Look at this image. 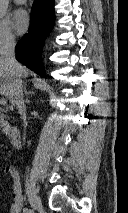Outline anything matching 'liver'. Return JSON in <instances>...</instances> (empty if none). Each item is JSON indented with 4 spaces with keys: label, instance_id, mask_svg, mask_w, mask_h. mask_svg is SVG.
Returning a JSON list of instances; mask_svg holds the SVG:
<instances>
[{
    "label": "liver",
    "instance_id": "1",
    "mask_svg": "<svg viewBox=\"0 0 128 213\" xmlns=\"http://www.w3.org/2000/svg\"><path fill=\"white\" fill-rule=\"evenodd\" d=\"M21 67L22 75L28 76V70L23 66ZM13 81L14 77L11 75L8 65L2 58H0V94L7 97L12 104H14L11 95Z\"/></svg>",
    "mask_w": 128,
    "mask_h": 213
}]
</instances>
